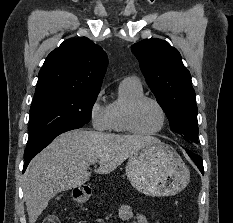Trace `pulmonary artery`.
<instances>
[{"label":"pulmonary artery","mask_w":233,"mask_h":223,"mask_svg":"<svg viewBox=\"0 0 233 223\" xmlns=\"http://www.w3.org/2000/svg\"><path fill=\"white\" fill-rule=\"evenodd\" d=\"M124 81H134V82H140L139 79L135 76L127 77Z\"/></svg>","instance_id":"1"}]
</instances>
